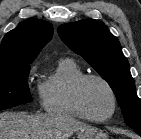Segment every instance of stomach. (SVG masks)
Instances as JSON below:
<instances>
[{"instance_id":"0dacf381","label":"stomach","mask_w":141,"mask_h":139,"mask_svg":"<svg viewBox=\"0 0 141 139\" xmlns=\"http://www.w3.org/2000/svg\"><path fill=\"white\" fill-rule=\"evenodd\" d=\"M77 139H108V137L97 128L89 126L78 132Z\"/></svg>"}]
</instances>
